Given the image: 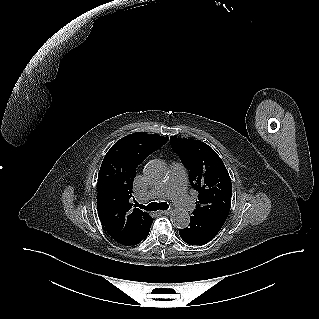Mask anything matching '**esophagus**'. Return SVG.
<instances>
[{"mask_svg":"<svg viewBox=\"0 0 319 319\" xmlns=\"http://www.w3.org/2000/svg\"><path fill=\"white\" fill-rule=\"evenodd\" d=\"M160 214H163V215H169L171 213V211L169 210H162L159 212Z\"/></svg>","mask_w":319,"mask_h":319,"instance_id":"1","label":"esophagus"}]
</instances>
